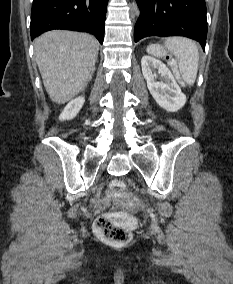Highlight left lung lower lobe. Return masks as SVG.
<instances>
[{
	"instance_id": "1",
	"label": "left lung lower lobe",
	"mask_w": 233,
	"mask_h": 284,
	"mask_svg": "<svg viewBox=\"0 0 233 284\" xmlns=\"http://www.w3.org/2000/svg\"><path fill=\"white\" fill-rule=\"evenodd\" d=\"M140 16L135 42L147 36H186L205 50L207 19L205 0H136Z\"/></svg>"
}]
</instances>
